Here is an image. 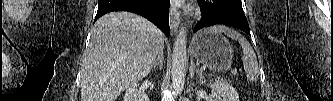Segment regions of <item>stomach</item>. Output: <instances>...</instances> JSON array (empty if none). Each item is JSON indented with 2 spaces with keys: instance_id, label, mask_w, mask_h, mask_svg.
Instances as JSON below:
<instances>
[{
  "instance_id": "1",
  "label": "stomach",
  "mask_w": 333,
  "mask_h": 101,
  "mask_svg": "<svg viewBox=\"0 0 333 101\" xmlns=\"http://www.w3.org/2000/svg\"><path fill=\"white\" fill-rule=\"evenodd\" d=\"M191 54L198 62L220 71L231 63L233 49L220 32L206 29L194 35Z\"/></svg>"
}]
</instances>
